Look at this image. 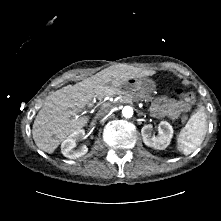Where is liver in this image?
Wrapping results in <instances>:
<instances>
[{
  "label": "liver",
  "instance_id": "1",
  "mask_svg": "<svg viewBox=\"0 0 221 221\" xmlns=\"http://www.w3.org/2000/svg\"><path fill=\"white\" fill-rule=\"evenodd\" d=\"M135 72L111 66L75 85H67L48 95L32 128L36 146L49 154L74 131L89 122V116L79 115L95 97L113 95Z\"/></svg>",
  "mask_w": 221,
  "mask_h": 221
}]
</instances>
